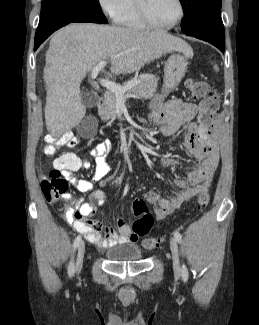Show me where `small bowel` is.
Here are the masks:
<instances>
[{"label": "small bowel", "mask_w": 259, "mask_h": 325, "mask_svg": "<svg viewBox=\"0 0 259 325\" xmlns=\"http://www.w3.org/2000/svg\"><path fill=\"white\" fill-rule=\"evenodd\" d=\"M204 114L205 109L202 104L198 106L180 98L171 99L150 113V119L157 124L163 136H173L184 128L186 132L184 145L188 153L200 161L199 166L193 169L187 178L174 180L175 185L180 188L176 194L163 198L154 191L144 193V198L154 204V214L158 220L164 219L199 192L208 190L210 186L218 165L219 154L215 129L209 133L200 123V118ZM198 115L199 124L195 121ZM110 149L108 142H101L91 150L90 154L95 160V170L91 180L78 179L75 175L81 168H91L89 161L73 153L63 154L54 161V167L59 168L64 178L78 191H91V203H84L82 198H73L70 194H64L62 197L76 209V212H66V217L73 228L83 234L98 249H106L119 243H134L139 237L122 219L117 220V230H114L87 218L94 211V203L103 205L106 201L105 191L93 190V184L102 181L111 172V166L106 159V154ZM159 164L162 168H169L178 162L174 158L163 155L159 158ZM128 189L129 185H126L124 192Z\"/></svg>", "instance_id": "obj_1"}]
</instances>
